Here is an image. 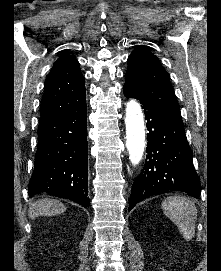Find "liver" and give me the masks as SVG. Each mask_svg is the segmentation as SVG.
I'll list each match as a JSON object with an SVG mask.
<instances>
[{"mask_svg":"<svg viewBox=\"0 0 221 271\" xmlns=\"http://www.w3.org/2000/svg\"><path fill=\"white\" fill-rule=\"evenodd\" d=\"M65 209L66 207L62 201L44 197V199H38V201L30 203L28 215L31 219H35L38 215H57V213H63Z\"/></svg>","mask_w":221,"mask_h":271,"instance_id":"1","label":"liver"}]
</instances>
